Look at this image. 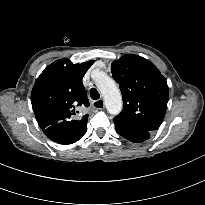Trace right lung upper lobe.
<instances>
[{
	"label": "right lung upper lobe",
	"instance_id": "obj_1",
	"mask_svg": "<svg viewBox=\"0 0 205 205\" xmlns=\"http://www.w3.org/2000/svg\"><path fill=\"white\" fill-rule=\"evenodd\" d=\"M93 60L73 64L57 60L44 69L31 92V103L41 129L55 126L58 137L67 143L79 140L87 130V116L74 120L81 106H89L82 78Z\"/></svg>",
	"mask_w": 205,
	"mask_h": 205
}]
</instances>
